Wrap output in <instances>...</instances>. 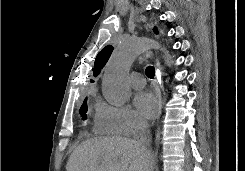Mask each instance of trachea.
Instances as JSON below:
<instances>
[{
  "label": "trachea",
  "instance_id": "obj_1",
  "mask_svg": "<svg viewBox=\"0 0 245 171\" xmlns=\"http://www.w3.org/2000/svg\"><path fill=\"white\" fill-rule=\"evenodd\" d=\"M145 73H146V75H147L148 78H153L154 75H155V69H154V67L148 66L146 68V70H145Z\"/></svg>",
  "mask_w": 245,
  "mask_h": 171
}]
</instances>
